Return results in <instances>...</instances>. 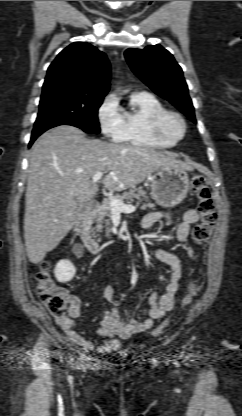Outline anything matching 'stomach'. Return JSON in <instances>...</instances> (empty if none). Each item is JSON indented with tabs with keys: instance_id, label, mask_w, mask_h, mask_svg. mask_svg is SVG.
Here are the masks:
<instances>
[{
	"instance_id": "1",
	"label": "stomach",
	"mask_w": 242,
	"mask_h": 416,
	"mask_svg": "<svg viewBox=\"0 0 242 416\" xmlns=\"http://www.w3.org/2000/svg\"><path fill=\"white\" fill-rule=\"evenodd\" d=\"M149 182L152 198L166 208L181 203L189 190V176L182 168L161 167L150 177Z\"/></svg>"
}]
</instances>
